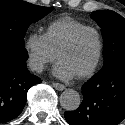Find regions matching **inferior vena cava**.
Instances as JSON below:
<instances>
[{"label": "inferior vena cava", "instance_id": "1", "mask_svg": "<svg viewBox=\"0 0 125 125\" xmlns=\"http://www.w3.org/2000/svg\"><path fill=\"white\" fill-rule=\"evenodd\" d=\"M29 67L32 69V70H35L36 72L38 73H41L42 70H43V64L40 63V62H36V61H31L29 63Z\"/></svg>", "mask_w": 125, "mask_h": 125}]
</instances>
